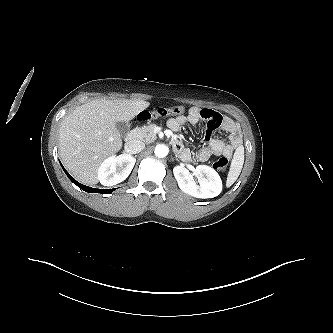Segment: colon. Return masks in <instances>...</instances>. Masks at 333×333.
I'll return each instance as SVG.
<instances>
[{"instance_id": "1", "label": "colon", "mask_w": 333, "mask_h": 333, "mask_svg": "<svg viewBox=\"0 0 333 333\" xmlns=\"http://www.w3.org/2000/svg\"><path fill=\"white\" fill-rule=\"evenodd\" d=\"M184 111L181 106L159 107L152 111H142L138 115V120L147 121L152 118H162L168 116L179 115ZM214 169L220 172H225L228 167V159L226 157H219L213 164Z\"/></svg>"}]
</instances>
